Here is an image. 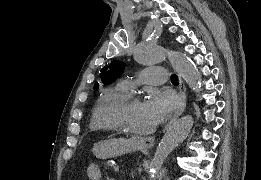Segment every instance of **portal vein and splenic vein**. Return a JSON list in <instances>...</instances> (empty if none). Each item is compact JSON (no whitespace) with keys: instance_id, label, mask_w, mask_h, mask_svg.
<instances>
[{"instance_id":"1","label":"portal vein and splenic vein","mask_w":261,"mask_h":180,"mask_svg":"<svg viewBox=\"0 0 261 180\" xmlns=\"http://www.w3.org/2000/svg\"><path fill=\"white\" fill-rule=\"evenodd\" d=\"M113 169H114V173H119V170L121 169V166L120 165H114Z\"/></svg>"}]
</instances>
